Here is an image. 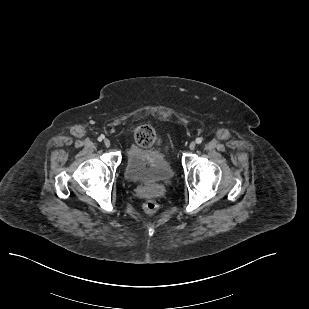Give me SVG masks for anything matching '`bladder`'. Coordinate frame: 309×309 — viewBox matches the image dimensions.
Segmentation results:
<instances>
[{
  "label": "bladder",
  "instance_id": "31cf9c89",
  "mask_svg": "<svg viewBox=\"0 0 309 309\" xmlns=\"http://www.w3.org/2000/svg\"><path fill=\"white\" fill-rule=\"evenodd\" d=\"M124 175L133 183H155L170 181L174 171L160 149L132 144L126 152Z\"/></svg>",
  "mask_w": 309,
  "mask_h": 309
}]
</instances>
